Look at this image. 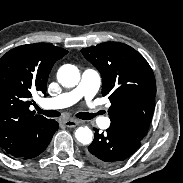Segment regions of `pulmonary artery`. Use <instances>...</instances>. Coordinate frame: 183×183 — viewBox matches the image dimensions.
Listing matches in <instances>:
<instances>
[{"instance_id": "1", "label": "pulmonary artery", "mask_w": 183, "mask_h": 183, "mask_svg": "<svg viewBox=\"0 0 183 183\" xmlns=\"http://www.w3.org/2000/svg\"><path fill=\"white\" fill-rule=\"evenodd\" d=\"M100 82V75L97 71L85 70L76 88L54 98L42 99L40 103L45 108L59 109L71 106L82 98L91 100L96 95L100 87ZM101 121H104V118H100L99 122L101 123ZM103 125L109 127L110 122L104 121Z\"/></svg>"}]
</instances>
